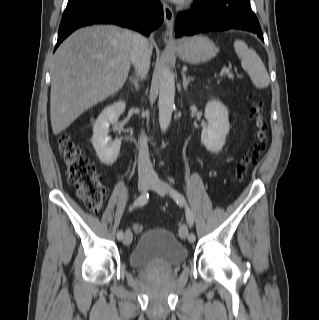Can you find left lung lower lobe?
Returning <instances> with one entry per match:
<instances>
[{
    "instance_id": "0a47b994",
    "label": "left lung lower lobe",
    "mask_w": 319,
    "mask_h": 320,
    "mask_svg": "<svg viewBox=\"0 0 319 320\" xmlns=\"http://www.w3.org/2000/svg\"><path fill=\"white\" fill-rule=\"evenodd\" d=\"M228 29L247 30L264 41L249 0H195L190 11L178 15L175 25L176 36Z\"/></svg>"
}]
</instances>
